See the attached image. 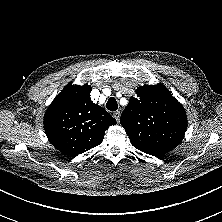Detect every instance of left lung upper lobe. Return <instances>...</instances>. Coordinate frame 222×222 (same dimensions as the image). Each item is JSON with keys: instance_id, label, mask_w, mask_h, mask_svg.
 Returning a JSON list of instances; mask_svg holds the SVG:
<instances>
[{"instance_id": "5c2ea615", "label": "left lung upper lobe", "mask_w": 222, "mask_h": 222, "mask_svg": "<svg viewBox=\"0 0 222 222\" xmlns=\"http://www.w3.org/2000/svg\"><path fill=\"white\" fill-rule=\"evenodd\" d=\"M121 115V125L134 147L172 150L187 128L183 106L164 86L138 87Z\"/></svg>"}]
</instances>
